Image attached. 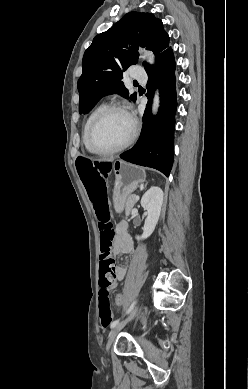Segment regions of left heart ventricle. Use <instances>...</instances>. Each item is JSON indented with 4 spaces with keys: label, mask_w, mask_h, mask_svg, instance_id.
<instances>
[{
    "label": "left heart ventricle",
    "mask_w": 248,
    "mask_h": 389,
    "mask_svg": "<svg viewBox=\"0 0 248 389\" xmlns=\"http://www.w3.org/2000/svg\"><path fill=\"white\" fill-rule=\"evenodd\" d=\"M132 132L130 119L120 111L106 114L92 133V145L99 150H110L124 143Z\"/></svg>",
    "instance_id": "obj_1"
}]
</instances>
